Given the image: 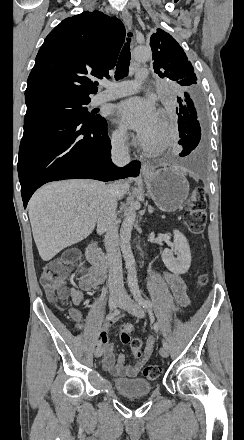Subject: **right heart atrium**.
I'll list each match as a JSON object with an SVG mask.
<instances>
[{
    "label": "right heart atrium",
    "mask_w": 244,
    "mask_h": 440,
    "mask_svg": "<svg viewBox=\"0 0 244 440\" xmlns=\"http://www.w3.org/2000/svg\"><path fill=\"white\" fill-rule=\"evenodd\" d=\"M150 135H143L141 139H150ZM128 133L123 127L116 128L112 135L111 141L115 147H121L127 143Z\"/></svg>",
    "instance_id": "d8ad5b80"
}]
</instances>
